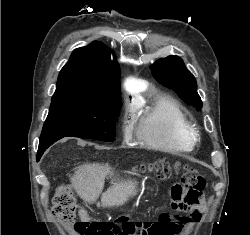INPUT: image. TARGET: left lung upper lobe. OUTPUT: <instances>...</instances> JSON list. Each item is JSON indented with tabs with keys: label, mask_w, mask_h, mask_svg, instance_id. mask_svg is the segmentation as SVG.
<instances>
[{
	"label": "left lung upper lobe",
	"mask_w": 250,
	"mask_h": 235,
	"mask_svg": "<svg viewBox=\"0 0 250 235\" xmlns=\"http://www.w3.org/2000/svg\"><path fill=\"white\" fill-rule=\"evenodd\" d=\"M152 74L165 87L173 89L187 104L200 108L201 98L197 93L194 76L186 69L178 56H168L151 66Z\"/></svg>",
	"instance_id": "5c2ea615"
}]
</instances>
